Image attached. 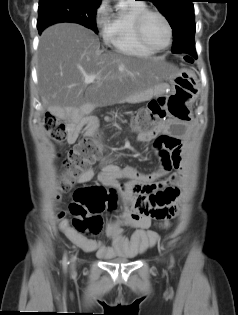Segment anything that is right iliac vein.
<instances>
[{
	"mask_svg": "<svg viewBox=\"0 0 238 315\" xmlns=\"http://www.w3.org/2000/svg\"><path fill=\"white\" fill-rule=\"evenodd\" d=\"M71 261H72V268L74 269V262H75V260L72 259Z\"/></svg>",
	"mask_w": 238,
	"mask_h": 315,
	"instance_id": "1",
	"label": "right iliac vein"
}]
</instances>
